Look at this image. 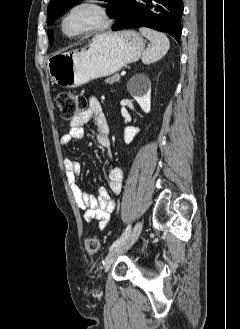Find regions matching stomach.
<instances>
[{
    "label": "stomach",
    "instance_id": "0dacf381",
    "mask_svg": "<svg viewBox=\"0 0 240 329\" xmlns=\"http://www.w3.org/2000/svg\"><path fill=\"white\" fill-rule=\"evenodd\" d=\"M144 47L145 41L136 31L102 33L85 48L52 54L47 68L56 84L76 88L138 61Z\"/></svg>",
    "mask_w": 240,
    "mask_h": 329
}]
</instances>
